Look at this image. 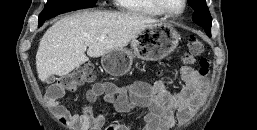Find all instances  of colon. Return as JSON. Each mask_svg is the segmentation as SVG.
<instances>
[{"mask_svg": "<svg viewBox=\"0 0 257 130\" xmlns=\"http://www.w3.org/2000/svg\"><path fill=\"white\" fill-rule=\"evenodd\" d=\"M189 51L193 56H200L205 50V44L198 38L192 37L189 41ZM199 73L203 77L210 74L209 62L206 58L200 60ZM94 72L91 65H85L61 77L49 88L52 98L61 97L67 91H74L77 87L93 81Z\"/></svg>", "mask_w": 257, "mask_h": 130, "instance_id": "1", "label": "colon"}]
</instances>
